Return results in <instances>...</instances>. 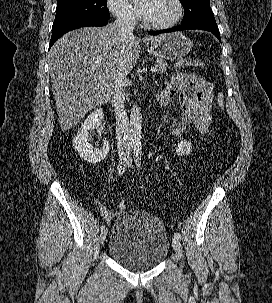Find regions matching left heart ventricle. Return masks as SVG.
Segmentation results:
<instances>
[{
	"mask_svg": "<svg viewBox=\"0 0 272 303\" xmlns=\"http://www.w3.org/2000/svg\"><path fill=\"white\" fill-rule=\"evenodd\" d=\"M139 6L144 17L155 24L171 21L177 11L174 0H140Z\"/></svg>",
	"mask_w": 272,
	"mask_h": 303,
	"instance_id": "b2bd125f",
	"label": "left heart ventricle"
}]
</instances>
